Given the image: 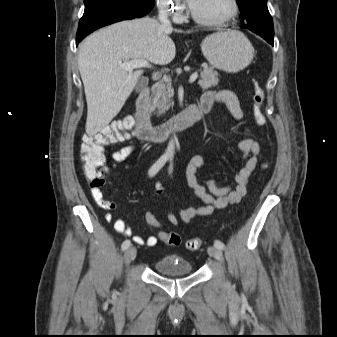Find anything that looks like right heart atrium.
<instances>
[{"instance_id": "d8ad5b80", "label": "right heart atrium", "mask_w": 337, "mask_h": 337, "mask_svg": "<svg viewBox=\"0 0 337 337\" xmlns=\"http://www.w3.org/2000/svg\"><path fill=\"white\" fill-rule=\"evenodd\" d=\"M159 9L174 21L182 19L185 6L180 0H156ZM158 34V33H157Z\"/></svg>"}]
</instances>
